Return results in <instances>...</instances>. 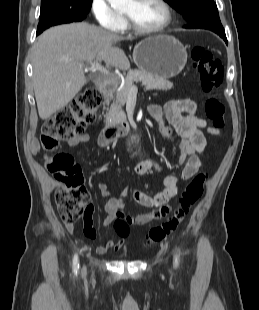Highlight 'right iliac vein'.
<instances>
[{"mask_svg": "<svg viewBox=\"0 0 259 310\" xmlns=\"http://www.w3.org/2000/svg\"><path fill=\"white\" fill-rule=\"evenodd\" d=\"M81 273H82V276L86 275V267L85 266H83Z\"/></svg>", "mask_w": 259, "mask_h": 310, "instance_id": "obj_1", "label": "right iliac vein"}]
</instances>
